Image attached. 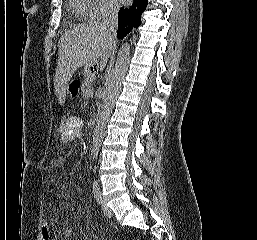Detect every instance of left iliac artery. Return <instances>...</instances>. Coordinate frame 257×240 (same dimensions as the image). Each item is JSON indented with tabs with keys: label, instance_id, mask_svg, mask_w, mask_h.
<instances>
[{
	"label": "left iliac artery",
	"instance_id": "left-iliac-artery-1",
	"mask_svg": "<svg viewBox=\"0 0 257 240\" xmlns=\"http://www.w3.org/2000/svg\"><path fill=\"white\" fill-rule=\"evenodd\" d=\"M93 193H94V197L96 199V201L100 204L101 203V192H100V189H99V185L98 183L95 181L93 183Z\"/></svg>",
	"mask_w": 257,
	"mask_h": 240
}]
</instances>
